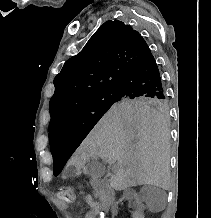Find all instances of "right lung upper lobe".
Segmentation results:
<instances>
[{"label": "right lung upper lobe", "mask_w": 211, "mask_h": 218, "mask_svg": "<svg viewBox=\"0 0 211 218\" xmlns=\"http://www.w3.org/2000/svg\"><path fill=\"white\" fill-rule=\"evenodd\" d=\"M149 54L147 43L131 26L118 20L105 22L55 77L49 125L79 104L114 91L126 74Z\"/></svg>", "instance_id": "1"}]
</instances>
